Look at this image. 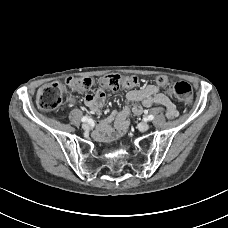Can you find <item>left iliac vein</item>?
I'll list each match as a JSON object with an SVG mask.
<instances>
[{"label": "left iliac vein", "instance_id": "4c4485c4", "mask_svg": "<svg viewBox=\"0 0 228 228\" xmlns=\"http://www.w3.org/2000/svg\"><path fill=\"white\" fill-rule=\"evenodd\" d=\"M150 128V125L147 122H142L138 124V129L140 131H147Z\"/></svg>", "mask_w": 228, "mask_h": 228}]
</instances>
